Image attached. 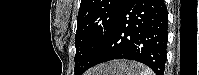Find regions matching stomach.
Listing matches in <instances>:
<instances>
[{"label":"stomach","instance_id":"0dacf381","mask_svg":"<svg viewBox=\"0 0 199 75\" xmlns=\"http://www.w3.org/2000/svg\"><path fill=\"white\" fill-rule=\"evenodd\" d=\"M140 66L130 61H114L97 66L93 75H138Z\"/></svg>","mask_w":199,"mask_h":75}]
</instances>
